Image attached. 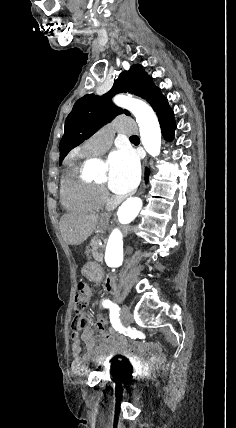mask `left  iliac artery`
<instances>
[{
    "label": "left iliac artery",
    "instance_id": "1",
    "mask_svg": "<svg viewBox=\"0 0 236 428\" xmlns=\"http://www.w3.org/2000/svg\"><path fill=\"white\" fill-rule=\"evenodd\" d=\"M102 305H103L104 308H112L116 304L112 303L110 300H104L102 302Z\"/></svg>",
    "mask_w": 236,
    "mask_h": 428
}]
</instances>
